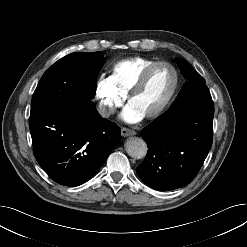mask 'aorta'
I'll list each match as a JSON object with an SVG mask.
<instances>
[{"label": "aorta", "instance_id": "762f6f07", "mask_svg": "<svg viewBox=\"0 0 247 247\" xmlns=\"http://www.w3.org/2000/svg\"><path fill=\"white\" fill-rule=\"evenodd\" d=\"M127 154L135 159H141L147 154V144L139 137H131L125 142Z\"/></svg>", "mask_w": 247, "mask_h": 247}]
</instances>
